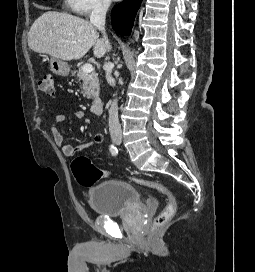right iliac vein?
<instances>
[{"label":"right iliac vein","mask_w":255,"mask_h":272,"mask_svg":"<svg viewBox=\"0 0 255 272\" xmlns=\"http://www.w3.org/2000/svg\"><path fill=\"white\" fill-rule=\"evenodd\" d=\"M119 138H120V136H115L114 139H113L114 142L116 143L119 140Z\"/></svg>","instance_id":"1"}]
</instances>
